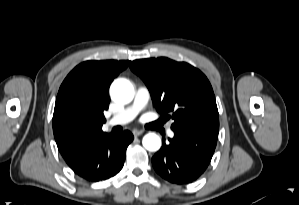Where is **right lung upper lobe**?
I'll return each mask as SVG.
<instances>
[{
  "mask_svg": "<svg viewBox=\"0 0 299 205\" xmlns=\"http://www.w3.org/2000/svg\"><path fill=\"white\" fill-rule=\"evenodd\" d=\"M130 61H86L63 81L55 103L53 133L58 150L70 164L88 145L107 135L102 131L113 79Z\"/></svg>",
  "mask_w": 299,
  "mask_h": 205,
  "instance_id": "1",
  "label": "right lung upper lobe"
}]
</instances>
